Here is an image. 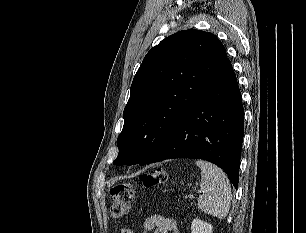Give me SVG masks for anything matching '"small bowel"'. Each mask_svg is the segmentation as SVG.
Instances as JSON below:
<instances>
[{"instance_id":"obj_1","label":"small bowel","mask_w":306,"mask_h":233,"mask_svg":"<svg viewBox=\"0 0 306 233\" xmlns=\"http://www.w3.org/2000/svg\"><path fill=\"white\" fill-rule=\"evenodd\" d=\"M142 228L145 232L152 233H180L177 221L174 218L162 215H153L143 221ZM120 233H133L130 227H123Z\"/></svg>"}]
</instances>
